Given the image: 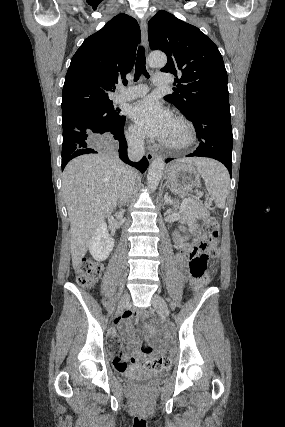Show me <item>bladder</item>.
I'll list each match as a JSON object with an SVG mask.
<instances>
[{"label":"bladder","mask_w":285,"mask_h":427,"mask_svg":"<svg viewBox=\"0 0 285 427\" xmlns=\"http://www.w3.org/2000/svg\"><path fill=\"white\" fill-rule=\"evenodd\" d=\"M124 380L130 383L137 382L139 380H153L162 382L166 380L167 373L162 370L147 371L142 367L131 365L125 370H118Z\"/></svg>","instance_id":"obj_1"}]
</instances>
